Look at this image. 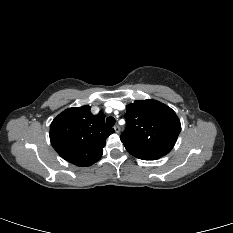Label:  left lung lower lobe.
<instances>
[{"instance_id": "obj_1", "label": "left lung lower lobe", "mask_w": 233, "mask_h": 233, "mask_svg": "<svg viewBox=\"0 0 233 233\" xmlns=\"http://www.w3.org/2000/svg\"><path fill=\"white\" fill-rule=\"evenodd\" d=\"M140 159H143V160H156L158 158H152V157H142Z\"/></svg>"}]
</instances>
